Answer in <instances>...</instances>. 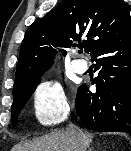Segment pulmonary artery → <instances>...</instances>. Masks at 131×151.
Returning <instances> with one entry per match:
<instances>
[{"label": "pulmonary artery", "instance_id": "pulmonary-artery-1", "mask_svg": "<svg viewBox=\"0 0 131 151\" xmlns=\"http://www.w3.org/2000/svg\"><path fill=\"white\" fill-rule=\"evenodd\" d=\"M72 65L74 71L80 74L84 73L88 68L87 63L83 60H74Z\"/></svg>", "mask_w": 131, "mask_h": 151}]
</instances>
